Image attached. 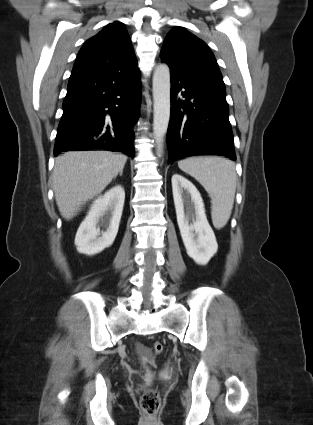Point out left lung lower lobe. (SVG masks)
<instances>
[{"label": "left lung lower lobe", "mask_w": 313, "mask_h": 425, "mask_svg": "<svg viewBox=\"0 0 313 425\" xmlns=\"http://www.w3.org/2000/svg\"><path fill=\"white\" fill-rule=\"evenodd\" d=\"M170 74L168 162L195 155H219L236 160L225 87L198 83L173 71Z\"/></svg>", "instance_id": "obj_1"}]
</instances>
